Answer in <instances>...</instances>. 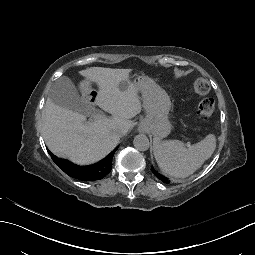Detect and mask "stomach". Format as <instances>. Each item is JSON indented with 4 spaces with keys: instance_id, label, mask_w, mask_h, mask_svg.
I'll use <instances>...</instances> for the list:
<instances>
[{
    "instance_id": "0dacf381",
    "label": "stomach",
    "mask_w": 255,
    "mask_h": 255,
    "mask_svg": "<svg viewBox=\"0 0 255 255\" xmlns=\"http://www.w3.org/2000/svg\"><path fill=\"white\" fill-rule=\"evenodd\" d=\"M134 83L145 85V112L146 117L141 120L137 130L142 132L149 131L155 137L162 139L170 132L171 125L167 116L172 109V102L168 99L165 91L151 84L152 81L147 77H138Z\"/></svg>"
}]
</instances>
